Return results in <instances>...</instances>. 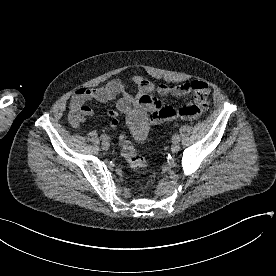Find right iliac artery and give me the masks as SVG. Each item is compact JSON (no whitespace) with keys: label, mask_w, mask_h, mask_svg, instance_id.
I'll list each match as a JSON object with an SVG mask.
<instances>
[{"label":"right iliac artery","mask_w":276,"mask_h":276,"mask_svg":"<svg viewBox=\"0 0 276 276\" xmlns=\"http://www.w3.org/2000/svg\"><path fill=\"white\" fill-rule=\"evenodd\" d=\"M100 138H101L102 141H104V140H109V137L106 136V135H101Z\"/></svg>","instance_id":"1"}]
</instances>
